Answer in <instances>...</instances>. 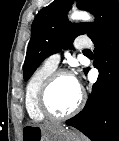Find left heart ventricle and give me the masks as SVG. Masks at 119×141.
I'll return each mask as SVG.
<instances>
[{"label":"left heart ventricle","instance_id":"obj_1","mask_svg":"<svg viewBox=\"0 0 119 141\" xmlns=\"http://www.w3.org/2000/svg\"><path fill=\"white\" fill-rule=\"evenodd\" d=\"M80 89L71 76H60L51 87L47 102L49 108L58 114L70 111L77 104Z\"/></svg>","mask_w":119,"mask_h":141}]
</instances>
